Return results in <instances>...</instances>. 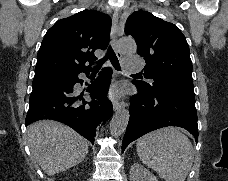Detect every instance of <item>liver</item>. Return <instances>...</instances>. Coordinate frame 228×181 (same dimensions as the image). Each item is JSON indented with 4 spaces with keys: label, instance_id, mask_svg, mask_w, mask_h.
<instances>
[{
    "label": "liver",
    "instance_id": "1",
    "mask_svg": "<svg viewBox=\"0 0 228 181\" xmlns=\"http://www.w3.org/2000/svg\"><path fill=\"white\" fill-rule=\"evenodd\" d=\"M26 133L30 157L48 177L79 165L88 153V141L56 121H37Z\"/></svg>",
    "mask_w": 228,
    "mask_h": 181
}]
</instances>
